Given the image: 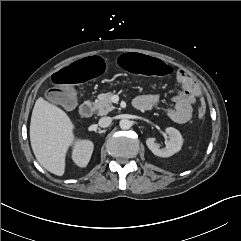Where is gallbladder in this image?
Masks as SVG:
<instances>
[{
  "label": "gallbladder",
  "mask_w": 241,
  "mask_h": 241,
  "mask_svg": "<svg viewBox=\"0 0 241 241\" xmlns=\"http://www.w3.org/2000/svg\"><path fill=\"white\" fill-rule=\"evenodd\" d=\"M71 98L73 99V106H75L76 105V96H75L74 91H72V97Z\"/></svg>",
  "instance_id": "bac80fb5"
}]
</instances>
